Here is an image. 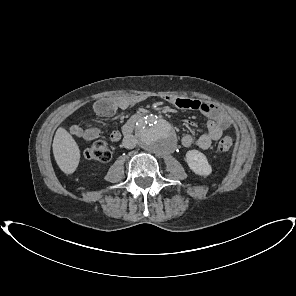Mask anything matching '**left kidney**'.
Masks as SVG:
<instances>
[{
  "label": "left kidney",
  "mask_w": 296,
  "mask_h": 296,
  "mask_svg": "<svg viewBox=\"0 0 296 296\" xmlns=\"http://www.w3.org/2000/svg\"><path fill=\"white\" fill-rule=\"evenodd\" d=\"M186 162L197 175L208 176L212 173V167L208 163L206 156L198 150H189L186 153Z\"/></svg>",
  "instance_id": "5707ae66"
}]
</instances>
